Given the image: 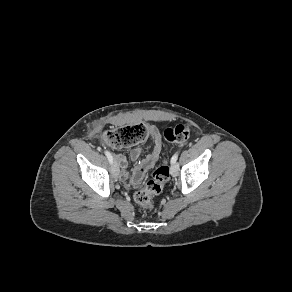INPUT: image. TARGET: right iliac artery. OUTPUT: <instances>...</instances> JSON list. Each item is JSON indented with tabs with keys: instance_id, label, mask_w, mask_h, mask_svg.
Instances as JSON below:
<instances>
[{
	"instance_id": "right-iliac-artery-1",
	"label": "right iliac artery",
	"mask_w": 292,
	"mask_h": 292,
	"mask_svg": "<svg viewBox=\"0 0 292 292\" xmlns=\"http://www.w3.org/2000/svg\"><path fill=\"white\" fill-rule=\"evenodd\" d=\"M110 163H113V157L109 151L104 152Z\"/></svg>"
}]
</instances>
